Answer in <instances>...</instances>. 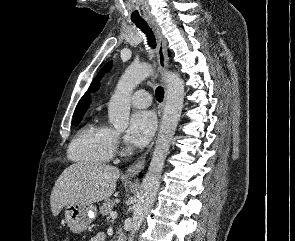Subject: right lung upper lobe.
I'll return each mask as SVG.
<instances>
[{"mask_svg": "<svg viewBox=\"0 0 295 241\" xmlns=\"http://www.w3.org/2000/svg\"><path fill=\"white\" fill-rule=\"evenodd\" d=\"M90 103V98L87 93L81 98L78 102L77 107L75 109L74 117L83 116L84 112L87 110Z\"/></svg>", "mask_w": 295, "mask_h": 241, "instance_id": "obj_1", "label": "right lung upper lobe"}]
</instances>
